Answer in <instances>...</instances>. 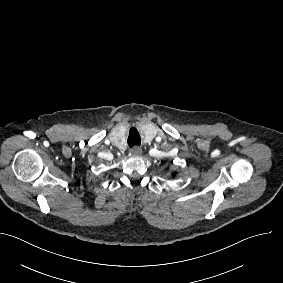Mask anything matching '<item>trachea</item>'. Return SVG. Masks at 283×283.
Masks as SVG:
<instances>
[{"label": "trachea", "instance_id": "obj_1", "mask_svg": "<svg viewBox=\"0 0 283 283\" xmlns=\"http://www.w3.org/2000/svg\"><path fill=\"white\" fill-rule=\"evenodd\" d=\"M140 143L141 139L138 131L135 128H132L128 137V146L132 148L134 146H140Z\"/></svg>", "mask_w": 283, "mask_h": 283}]
</instances>
